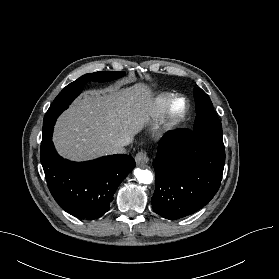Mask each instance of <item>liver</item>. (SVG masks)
<instances>
[{
	"mask_svg": "<svg viewBox=\"0 0 279 279\" xmlns=\"http://www.w3.org/2000/svg\"><path fill=\"white\" fill-rule=\"evenodd\" d=\"M151 92L145 84L84 92L57 120L53 142L72 161L107 155L108 146L132 141L150 119Z\"/></svg>",
	"mask_w": 279,
	"mask_h": 279,
	"instance_id": "6515ba94",
	"label": "liver"
}]
</instances>
